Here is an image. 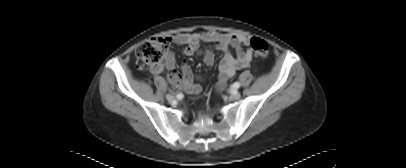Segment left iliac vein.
Instances as JSON below:
<instances>
[{"mask_svg": "<svg viewBox=\"0 0 406 168\" xmlns=\"http://www.w3.org/2000/svg\"><path fill=\"white\" fill-rule=\"evenodd\" d=\"M241 94L238 91H234L231 95H230V99L231 100H238L240 99Z\"/></svg>", "mask_w": 406, "mask_h": 168, "instance_id": "1", "label": "left iliac vein"}]
</instances>
